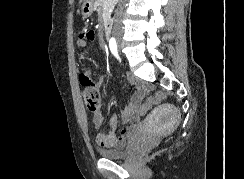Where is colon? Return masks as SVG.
Wrapping results in <instances>:
<instances>
[{
  "label": "colon",
  "instance_id": "obj_1",
  "mask_svg": "<svg viewBox=\"0 0 244 179\" xmlns=\"http://www.w3.org/2000/svg\"><path fill=\"white\" fill-rule=\"evenodd\" d=\"M83 97L87 110L92 114H98L100 107L99 93L94 87L85 88ZM164 93H155L154 96H148L147 104H138V109H152V105L163 101ZM139 116H150V111H139Z\"/></svg>",
  "mask_w": 244,
  "mask_h": 179
}]
</instances>
